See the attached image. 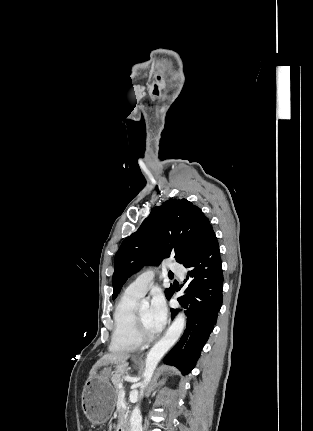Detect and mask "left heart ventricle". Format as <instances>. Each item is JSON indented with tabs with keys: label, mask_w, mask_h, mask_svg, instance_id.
Masks as SVG:
<instances>
[{
	"label": "left heart ventricle",
	"mask_w": 313,
	"mask_h": 431,
	"mask_svg": "<svg viewBox=\"0 0 313 431\" xmlns=\"http://www.w3.org/2000/svg\"><path fill=\"white\" fill-rule=\"evenodd\" d=\"M139 312L141 315L142 323L144 330L147 334H153L155 331L151 325V316H150V307L148 305H144L139 308Z\"/></svg>",
	"instance_id": "b2bd125f"
}]
</instances>
